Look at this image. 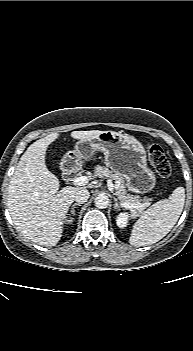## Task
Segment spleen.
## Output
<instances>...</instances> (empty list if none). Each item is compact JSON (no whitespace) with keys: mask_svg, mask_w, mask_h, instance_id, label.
I'll list each match as a JSON object with an SVG mask.
<instances>
[{"mask_svg":"<svg viewBox=\"0 0 193 351\" xmlns=\"http://www.w3.org/2000/svg\"><path fill=\"white\" fill-rule=\"evenodd\" d=\"M185 203V189L177 187L169 199L153 204L135 222L129 242L134 246L151 245L165 237L178 221Z\"/></svg>","mask_w":193,"mask_h":351,"instance_id":"3e777b00","label":"spleen"}]
</instances>
